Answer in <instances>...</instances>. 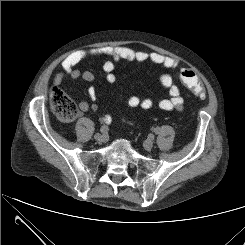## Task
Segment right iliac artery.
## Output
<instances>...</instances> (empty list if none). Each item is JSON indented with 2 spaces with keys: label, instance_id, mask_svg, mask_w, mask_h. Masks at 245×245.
<instances>
[{
  "label": "right iliac artery",
  "instance_id": "82829eb1",
  "mask_svg": "<svg viewBox=\"0 0 245 245\" xmlns=\"http://www.w3.org/2000/svg\"><path fill=\"white\" fill-rule=\"evenodd\" d=\"M109 119L111 121V118H109ZM100 131H101V133L105 134V133L108 132V127L104 125V126L101 127Z\"/></svg>",
  "mask_w": 245,
  "mask_h": 245
}]
</instances>
